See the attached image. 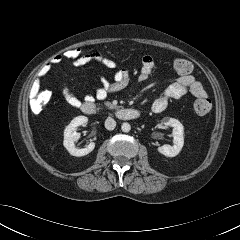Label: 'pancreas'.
<instances>
[{
  "label": "pancreas",
  "instance_id": "1",
  "mask_svg": "<svg viewBox=\"0 0 240 240\" xmlns=\"http://www.w3.org/2000/svg\"><path fill=\"white\" fill-rule=\"evenodd\" d=\"M104 105H105L107 108H109V109H117V108H119L117 105H115V104H113V103H111V102H109V101H105V102H104Z\"/></svg>",
  "mask_w": 240,
  "mask_h": 240
}]
</instances>
